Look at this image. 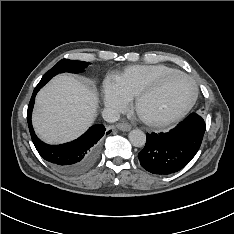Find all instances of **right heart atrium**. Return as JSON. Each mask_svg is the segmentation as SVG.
Returning <instances> with one entry per match:
<instances>
[{"mask_svg": "<svg viewBox=\"0 0 234 234\" xmlns=\"http://www.w3.org/2000/svg\"><path fill=\"white\" fill-rule=\"evenodd\" d=\"M103 97L106 106L118 112H123L128 107L129 99L123 95L114 80L109 79L104 83Z\"/></svg>", "mask_w": 234, "mask_h": 234, "instance_id": "d8ad5b80", "label": "right heart atrium"}]
</instances>
